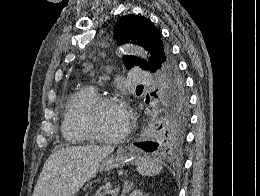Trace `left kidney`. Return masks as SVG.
Masks as SVG:
<instances>
[{
  "instance_id": "left-kidney-1",
  "label": "left kidney",
  "mask_w": 260,
  "mask_h": 196,
  "mask_svg": "<svg viewBox=\"0 0 260 196\" xmlns=\"http://www.w3.org/2000/svg\"><path fill=\"white\" fill-rule=\"evenodd\" d=\"M130 196H144L143 192H141V190H133V192H131Z\"/></svg>"
}]
</instances>
